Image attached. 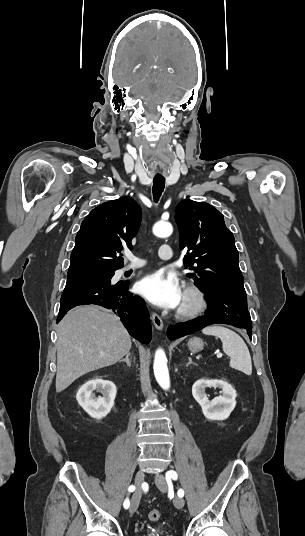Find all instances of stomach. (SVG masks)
Listing matches in <instances>:
<instances>
[{
    "label": "stomach",
    "instance_id": "1",
    "mask_svg": "<svg viewBox=\"0 0 305 536\" xmlns=\"http://www.w3.org/2000/svg\"><path fill=\"white\" fill-rule=\"evenodd\" d=\"M188 348L191 352H201L204 348V342L201 338H191L188 342Z\"/></svg>",
    "mask_w": 305,
    "mask_h": 536
}]
</instances>
